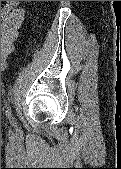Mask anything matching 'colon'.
Segmentation results:
<instances>
[{
    "instance_id": "obj_1",
    "label": "colon",
    "mask_w": 121,
    "mask_h": 169,
    "mask_svg": "<svg viewBox=\"0 0 121 169\" xmlns=\"http://www.w3.org/2000/svg\"><path fill=\"white\" fill-rule=\"evenodd\" d=\"M24 10L19 1H7L1 11V68L5 69L6 62L13 50L18 29L23 21Z\"/></svg>"
}]
</instances>
